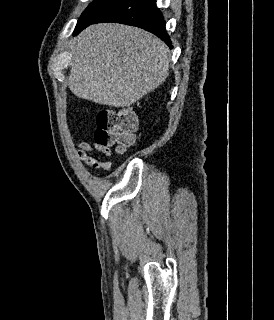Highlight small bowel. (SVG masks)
<instances>
[{
  "instance_id": "obj_1",
  "label": "small bowel",
  "mask_w": 274,
  "mask_h": 320,
  "mask_svg": "<svg viewBox=\"0 0 274 320\" xmlns=\"http://www.w3.org/2000/svg\"><path fill=\"white\" fill-rule=\"evenodd\" d=\"M98 145V142L96 140H92L89 142H82L79 145V149L76 152L77 158L80 161L85 162L86 164L90 165L91 167L95 169H102L103 171H109L111 169V163L108 161L109 159L107 153H112L113 148L112 146H98L97 151L98 153H102L101 157L105 161H100L91 155L89 153L93 152Z\"/></svg>"
}]
</instances>
